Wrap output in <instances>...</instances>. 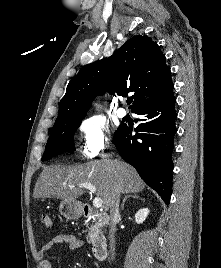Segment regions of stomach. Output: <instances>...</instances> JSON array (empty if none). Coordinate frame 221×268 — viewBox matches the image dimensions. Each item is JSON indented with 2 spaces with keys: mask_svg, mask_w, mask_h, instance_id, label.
I'll return each mask as SVG.
<instances>
[{
  "mask_svg": "<svg viewBox=\"0 0 221 268\" xmlns=\"http://www.w3.org/2000/svg\"><path fill=\"white\" fill-rule=\"evenodd\" d=\"M59 211L66 219L76 220L82 215V205L78 201L63 200L59 205Z\"/></svg>",
  "mask_w": 221,
  "mask_h": 268,
  "instance_id": "0dacf381",
  "label": "stomach"
}]
</instances>
